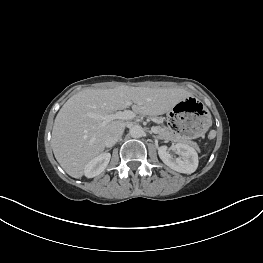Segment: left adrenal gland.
<instances>
[{"mask_svg": "<svg viewBox=\"0 0 263 263\" xmlns=\"http://www.w3.org/2000/svg\"><path fill=\"white\" fill-rule=\"evenodd\" d=\"M150 133L152 134V136H153L154 138H159V137H157V136L153 135V133H152V132H150Z\"/></svg>", "mask_w": 263, "mask_h": 263, "instance_id": "a2214340", "label": "left adrenal gland"}]
</instances>
